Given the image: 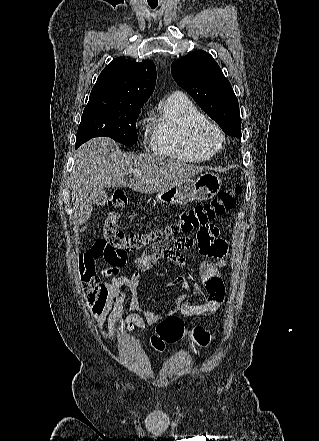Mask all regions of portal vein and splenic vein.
Here are the masks:
<instances>
[{
  "instance_id": "1",
  "label": "portal vein and splenic vein",
  "mask_w": 319,
  "mask_h": 441,
  "mask_svg": "<svg viewBox=\"0 0 319 441\" xmlns=\"http://www.w3.org/2000/svg\"><path fill=\"white\" fill-rule=\"evenodd\" d=\"M137 175L140 176L141 174L139 172H137Z\"/></svg>"
}]
</instances>
